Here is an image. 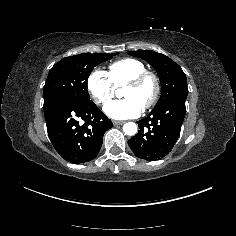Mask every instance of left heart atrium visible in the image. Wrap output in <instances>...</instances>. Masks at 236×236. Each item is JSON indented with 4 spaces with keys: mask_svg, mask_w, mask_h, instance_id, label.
<instances>
[{
    "mask_svg": "<svg viewBox=\"0 0 236 236\" xmlns=\"http://www.w3.org/2000/svg\"><path fill=\"white\" fill-rule=\"evenodd\" d=\"M143 112V106L133 99L125 98L109 103L105 108L108 117L115 120L136 118Z\"/></svg>",
    "mask_w": 236,
    "mask_h": 236,
    "instance_id": "1",
    "label": "left heart atrium"
}]
</instances>
